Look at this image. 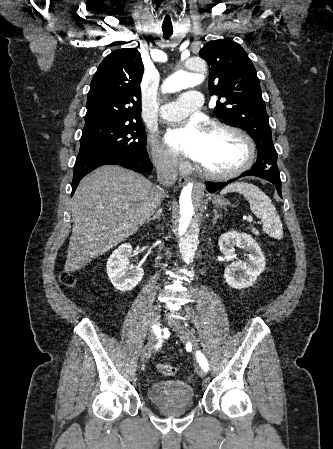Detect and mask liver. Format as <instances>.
I'll use <instances>...</instances> for the list:
<instances>
[{
	"label": "liver",
	"mask_w": 333,
	"mask_h": 449,
	"mask_svg": "<svg viewBox=\"0 0 333 449\" xmlns=\"http://www.w3.org/2000/svg\"><path fill=\"white\" fill-rule=\"evenodd\" d=\"M159 188L117 165H105L80 182L71 202L73 231L66 266L79 270L131 236L161 202Z\"/></svg>",
	"instance_id": "obj_1"
}]
</instances>
